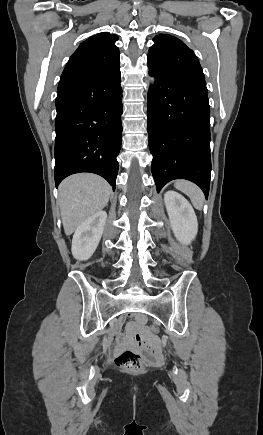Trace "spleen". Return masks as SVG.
Listing matches in <instances>:
<instances>
[{"instance_id":"3e777b00","label":"spleen","mask_w":263,"mask_h":435,"mask_svg":"<svg viewBox=\"0 0 263 435\" xmlns=\"http://www.w3.org/2000/svg\"><path fill=\"white\" fill-rule=\"evenodd\" d=\"M174 186L177 190L185 193L190 198L196 209H202L204 204V194L197 185L186 180H178L175 182Z\"/></svg>"}]
</instances>
